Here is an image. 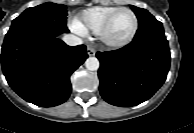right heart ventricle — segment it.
<instances>
[{
    "instance_id": "e07e8e85",
    "label": "right heart ventricle",
    "mask_w": 194,
    "mask_h": 133,
    "mask_svg": "<svg viewBox=\"0 0 194 133\" xmlns=\"http://www.w3.org/2000/svg\"><path fill=\"white\" fill-rule=\"evenodd\" d=\"M120 7H93L82 12L78 20L94 34H98L108 17Z\"/></svg>"
}]
</instances>
